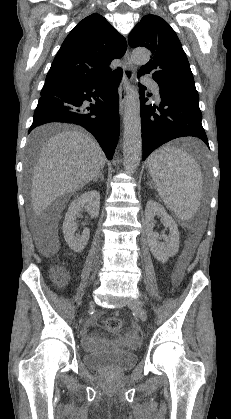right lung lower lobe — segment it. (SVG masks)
Segmentation results:
<instances>
[{
    "mask_svg": "<svg viewBox=\"0 0 231 419\" xmlns=\"http://www.w3.org/2000/svg\"><path fill=\"white\" fill-rule=\"evenodd\" d=\"M122 70L105 78L72 84L41 95L29 133L50 122L75 123L91 132L109 160L119 138L118 91ZM94 98L96 104L86 106Z\"/></svg>",
    "mask_w": 231,
    "mask_h": 419,
    "instance_id": "1",
    "label": "right lung lower lobe"
}]
</instances>
